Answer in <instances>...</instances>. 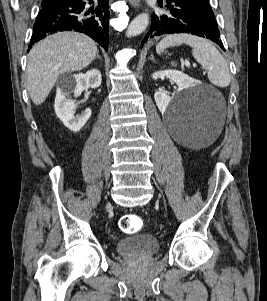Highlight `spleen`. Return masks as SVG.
Wrapping results in <instances>:
<instances>
[{"instance_id":"spleen-1","label":"spleen","mask_w":267,"mask_h":301,"mask_svg":"<svg viewBox=\"0 0 267 301\" xmlns=\"http://www.w3.org/2000/svg\"><path fill=\"white\" fill-rule=\"evenodd\" d=\"M192 47L194 59L207 71L209 81L217 87H227L231 76L226 60L218 49L208 40L190 34H174L164 37L156 46L161 54L164 49L181 44ZM171 65L176 66L174 62Z\"/></svg>"}]
</instances>
